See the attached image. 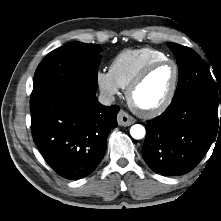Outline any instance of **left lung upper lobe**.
I'll return each mask as SVG.
<instances>
[{
    "instance_id": "5c2ea615",
    "label": "left lung upper lobe",
    "mask_w": 221,
    "mask_h": 221,
    "mask_svg": "<svg viewBox=\"0 0 221 221\" xmlns=\"http://www.w3.org/2000/svg\"><path fill=\"white\" fill-rule=\"evenodd\" d=\"M176 56L179 67V80L173 100L186 95H200L216 104L221 103V89H216L210 71L201 57L192 49L176 43H167ZM172 100V101H173Z\"/></svg>"
}]
</instances>
